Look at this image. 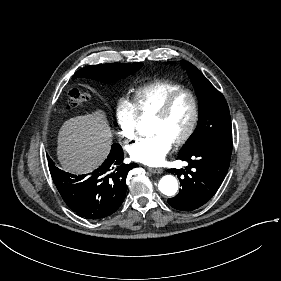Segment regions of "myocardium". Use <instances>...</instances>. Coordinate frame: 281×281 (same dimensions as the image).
Returning <instances> with one entry per match:
<instances>
[{
  "label": "myocardium",
  "instance_id": "obj_1",
  "mask_svg": "<svg viewBox=\"0 0 281 281\" xmlns=\"http://www.w3.org/2000/svg\"><path fill=\"white\" fill-rule=\"evenodd\" d=\"M188 97L191 103V118L190 122L188 124L187 129L185 132L178 138L174 139L172 141L173 145L180 146L186 143L193 135L198 119H199V106L198 101L195 95L188 91V90H182L179 92H176L172 95H170L155 111L151 112L148 117L155 118V119H161L163 118L173 105V103L181 98V97Z\"/></svg>",
  "mask_w": 281,
  "mask_h": 281
}]
</instances>
